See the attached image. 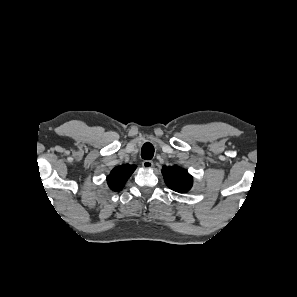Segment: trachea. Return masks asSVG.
<instances>
[{
  "label": "trachea",
  "instance_id": "3493384b",
  "mask_svg": "<svg viewBox=\"0 0 297 297\" xmlns=\"http://www.w3.org/2000/svg\"><path fill=\"white\" fill-rule=\"evenodd\" d=\"M141 156L143 159L149 160L154 156V147L150 143H145L141 150Z\"/></svg>",
  "mask_w": 297,
  "mask_h": 297
}]
</instances>
